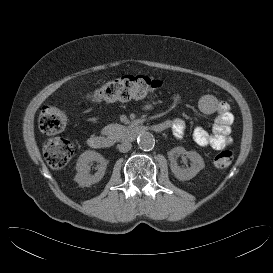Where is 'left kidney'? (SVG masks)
<instances>
[{
    "label": "left kidney",
    "instance_id": "left-kidney-1",
    "mask_svg": "<svg viewBox=\"0 0 273 273\" xmlns=\"http://www.w3.org/2000/svg\"><path fill=\"white\" fill-rule=\"evenodd\" d=\"M186 155L192 162L191 166L182 169L178 166L175 156ZM204 160L196 151H186L183 147L179 146L170 151V168L174 176L179 180H190L195 177L203 168Z\"/></svg>",
    "mask_w": 273,
    "mask_h": 273
}]
</instances>
